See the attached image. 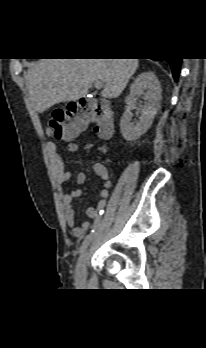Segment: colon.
<instances>
[{"mask_svg":"<svg viewBox=\"0 0 206 348\" xmlns=\"http://www.w3.org/2000/svg\"><path fill=\"white\" fill-rule=\"evenodd\" d=\"M90 123L95 124L100 137H109L113 128V112L110 106L104 102L81 98L64 108L54 110L49 129L54 140L64 141L74 138Z\"/></svg>","mask_w":206,"mask_h":348,"instance_id":"1","label":"colon"}]
</instances>
